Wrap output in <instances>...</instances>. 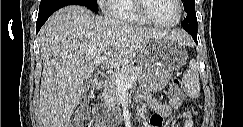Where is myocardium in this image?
<instances>
[{
  "label": "myocardium",
  "instance_id": "myocardium-1",
  "mask_svg": "<svg viewBox=\"0 0 243 127\" xmlns=\"http://www.w3.org/2000/svg\"><path fill=\"white\" fill-rule=\"evenodd\" d=\"M176 2V5L179 10V15L177 19L174 22L171 23H165L160 22L156 19H154L148 12L146 7V0H136V10L138 14L149 24L158 26V27H164V28H171L179 25L182 21L183 15H184V8L181 0H174Z\"/></svg>",
  "mask_w": 243,
  "mask_h": 127
}]
</instances>
